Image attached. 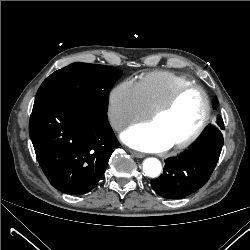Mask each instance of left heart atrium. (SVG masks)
<instances>
[{"label": "left heart atrium", "mask_w": 250, "mask_h": 250, "mask_svg": "<svg viewBox=\"0 0 250 250\" xmlns=\"http://www.w3.org/2000/svg\"><path fill=\"white\" fill-rule=\"evenodd\" d=\"M121 138L129 146L147 152H160L173 145L152 122L131 127Z\"/></svg>", "instance_id": "obj_1"}]
</instances>
